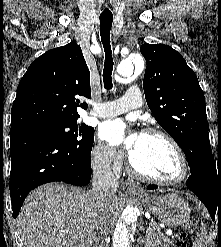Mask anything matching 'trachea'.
<instances>
[{"label": "trachea", "instance_id": "1", "mask_svg": "<svg viewBox=\"0 0 221 247\" xmlns=\"http://www.w3.org/2000/svg\"><path fill=\"white\" fill-rule=\"evenodd\" d=\"M100 36L105 51V63L103 69L104 88L110 90L113 88L112 71L113 58L110 45V30L113 22V15L101 14L100 17Z\"/></svg>", "mask_w": 221, "mask_h": 247}]
</instances>
